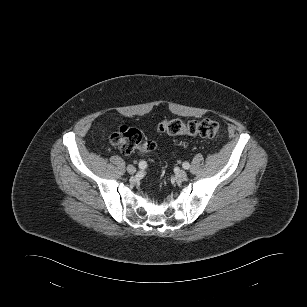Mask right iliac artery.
I'll return each instance as SVG.
<instances>
[{
  "label": "right iliac artery",
  "instance_id": "obj_1",
  "mask_svg": "<svg viewBox=\"0 0 307 307\" xmlns=\"http://www.w3.org/2000/svg\"><path fill=\"white\" fill-rule=\"evenodd\" d=\"M146 166H147V163L145 162V161H140V163H139V168L140 169H145L146 168Z\"/></svg>",
  "mask_w": 307,
  "mask_h": 307
}]
</instances>
